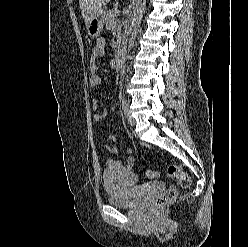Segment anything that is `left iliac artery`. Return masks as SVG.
I'll use <instances>...</instances> for the list:
<instances>
[{"label":"left iliac artery","instance_id":"left-iliac-artery-1","mask_svg":"<svg viewBox=\"0 0 248 247\" xmlns=\"http://www.w3.org/2000/svg\"><path fill=\"white\" fill-rule=\"evenodd\" d=\"M122 110H123L124 115H127L128 105H127L126 100L124 98L122 100Z\"/></svg>","mask_w":248,"mask_h":247}]
</instances>
